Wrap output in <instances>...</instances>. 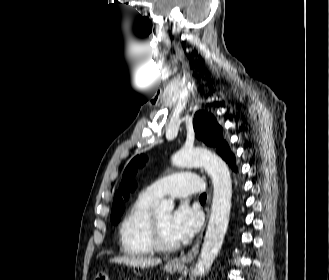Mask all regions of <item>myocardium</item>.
<instances>
[{
    "mask_svg": "<svg viewBox=\"0 0 329 280\" xmlns=\"http://www.w3.org/2000/svg\"><path fill=\"white\" fill-rule=\"evenodd\" d=\"M149 236L155 250L168 252L178 248V243H170L164 240L158 226L156 215L153 213L149 222Z\"/></svg>",
    "mask_w": 329,
    "mask_h": 280,
    "instance_id": "f54148a6",
    "label": "myocardium"
}]
</instances>
